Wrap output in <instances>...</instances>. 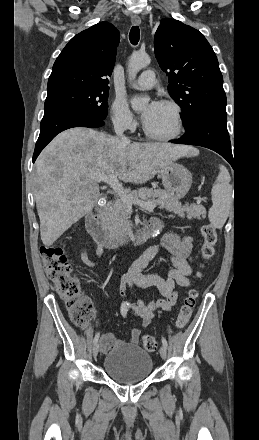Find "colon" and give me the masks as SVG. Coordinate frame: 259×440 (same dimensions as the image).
<instances>
[{"mask_svg": "<svg viewBox=\"0 0 259 440\" xmlns=\"http://www.w3.org/2000/svg\"><path fill=\"white\" fill-rule=\"evenodd\" d=\"M203 244L201 254L203 259L209 260L215 251L217 243L216 229L206 224L201 229ZM44 268L48 278L55 284L56 290L65 302L71 320L78 326H84L92 316L93 305L89 298L82 294L81 285L77 277L72 274L71 265L64 250L60 246L45 245L40 248ZM197 291L189 290L180 307L176 326L183 328L187 325L196 304ZM143 347L148 351L158 348V340L146 335L142 339Z\"/></svg>", "mask_w": 259, "mask_h": 440, "instance_id": "colon-1", "label": "colon"}]
</instances>
